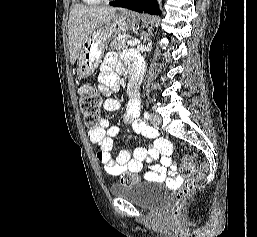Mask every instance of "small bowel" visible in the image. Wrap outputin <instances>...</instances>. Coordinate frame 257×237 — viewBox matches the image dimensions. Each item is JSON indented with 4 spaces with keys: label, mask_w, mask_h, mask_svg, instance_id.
Instances as JSON below:
<instances>
[{
    "label": "small bowel",
    "mask_w": 257,
    "mask_h": 237,
    "mask_svg": "<svg viewBox=\"0 0 257 237\" xmlns=\"http://www.w3.org/2000/svg\"><path fill=\"white\" fill-rule=\"evenodd\" d=\"M133 63L130 71L138 68L141 74V65L131 58ZM127 66V62H120L118 55L114 52L108 53L101 66L99 73V89L105 96L104 109L108 112L118 111L121 107L117 99L111 98L112 91L118 89L117 75L122 73ZM140 101L138 97H132L126 106L123 122L131 125L132 129L146 136L153 141V146L138 147L133 152L131 158L129 151L122 150L116 157H112L113 138L120 133V127L110 126L107 119H101L99 124L88 131V138L92 143L98 145L97 159L104 166L108 174L117 176L124 172L138 173L142 171L144 163L151 164L145 174L149 181L160 182L167 180L170 185L177 186L182 178L172 168L171 143L158 135L156 131L139 120ZM172 168V171H170Z\"/></svg>",
    "instance_id": "1"
}]
</instances>
